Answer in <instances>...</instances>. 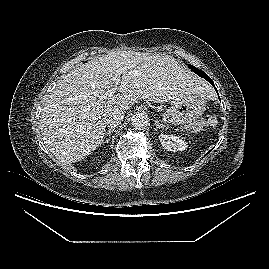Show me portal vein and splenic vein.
<instances>
[{
  "label": "portal vein and splenic vein",
  "mask_w": 269,
  "mask_h": 269,
  "mask_svg": "<svg viewBox=\"0 0 269 269\" xmlns=\"http://www.w3.org/2000/svg\"><path fill=\"white\" fill-rule=\"evenodd\" d=\"M121 72H122V71L119 70V71L113 76L112 80H113V82H114V85H112V87L106 91V93L104 94L103 98H109V97L113 96V95L116 93L117 85H118L119 82H120V75H121Z\"/></svg>",
  "instance_id": "1"
}]
</instances>
